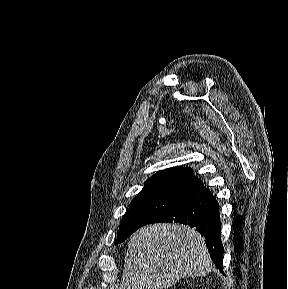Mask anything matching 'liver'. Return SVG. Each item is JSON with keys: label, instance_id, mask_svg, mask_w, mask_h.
<instances>
[{"label": "liver", "instance_id": "6515ba94", "mask_svg": "<svg viewBox=\"0 0 288 289\" xmlns=\"http://www.w3.org/2000/svg\"><path fill=\"white\" fill-rule=\"evenodd\" d=\"M211 271L208 249L195 229L153 224L131 236L119 289H167L181 278Z\"/></svg>", "mask_w": 288, "mask_h": 289}]
</instances>
